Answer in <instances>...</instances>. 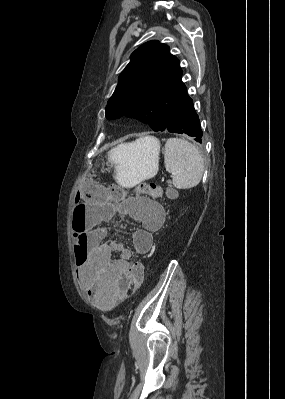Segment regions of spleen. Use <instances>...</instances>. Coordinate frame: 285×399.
<instances>
[{"mask_svg":"<svg viewBox=\"0 0 285 399\" xmlns=\"http://www.w3.org/2000/svg\"><path fill=\"white\" fill-rule=\"evenodd\" d=\"M164 163L176 188L189 189L200 183L204 171L203 158L199 149L189 141L169 138L165 144Z\"/></svg>","mask_w":285,"mask_h":399,"instance_id":"obj_1","label":"spleen"}]
</instances>
